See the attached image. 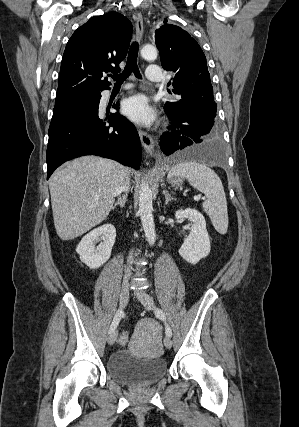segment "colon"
<instances>
[{"label":"colon","mask_w":299,"mask_h":427,"mask_svg":"<svg viewBox=\"0 0 299 427\" xmlns=\"http://www.w3.org/2000/svg\"><path fill=\"white\" fill-rule=\"evenodd\" d=\"M128 337H129L128 334L124 332L120 337V343L122 345L126 344L128 341Z\"/></svg>","instance_id":"5ec220e1"}]
</instances>
